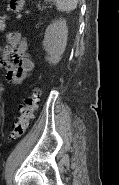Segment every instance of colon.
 <instances>
[{"label":"colon","instance_id":"colon-1","mask_svg":"<svg viewBox=\"0 0 119 185\" xmlns=\"http://www.w3.org/2000/svg\"><path fill=\"white\" fill-rule=\"evenodd\" d=\"M24 10L23 0H10L8 12L1 16L0 28L6 27L7 21L10 19L11 14H17L20 17V13ZM40 90L34 87L30 94L24 99L20 106L19 114L13 123L11 132L9 134V140L14 141L19 139L27 130L30 122L34 116V112L38 107Z\"/></svg>","mask_w":119,"mask_h":185}]
</instances>
